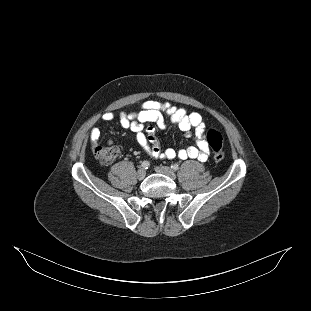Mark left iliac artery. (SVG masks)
I'll return each instance as SVG.
<instances>
[{
	"mask_svg": "<svg viewBox=\"0 0 311 311\" xmlns=\"http://www.w3.org/2000/svg\"><path fill=\"white\" fill-rule=\"evenodd\" d=\"M172 170L177 171L179 169V166L177 164L171 165Z\"/></svg>",
	"mask_w": 311,
	"mask_h": 311,
	"instance_id": "obj_1",
	"label": "left iliac artery"
}]
</instances>
